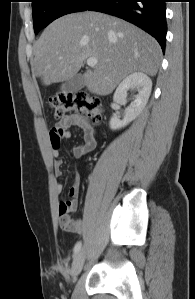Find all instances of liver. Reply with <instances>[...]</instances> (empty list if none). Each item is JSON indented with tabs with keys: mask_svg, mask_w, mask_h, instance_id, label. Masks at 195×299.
<instances>
[{
	"mask_svg": "<svg viewBox=\"0 0 195 299\" xmlns=\"http://www.w3.org/2000/svg\"><path fill=\"white\" fill-rule=\"evenodd\" d=\"M33 77L46 86L63 82L90 58L97 65L84 74L89 92L111 93L134 72L156 75L161 48L149 34L122 19L86 11L62 16L34 43Z\"/></svg>",
	"mask_w": 195,
	"mask_h": 299,
	"instance_id": "1",
	"label": "liver"
}]
</instances>
